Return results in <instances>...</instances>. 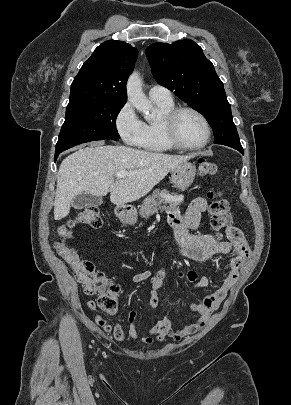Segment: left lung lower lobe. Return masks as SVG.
Here are the masks:
<instances>
[{"label": "left lung lower lobe", "mask_w": 291, "mask_h": 405, "mask_svg": "<svg viewBox=\"0 0 291 405\" xmlns=\"http://www.w3.org/2000/svg\"><path fill=\"white\" fill-rule=\"evenodd\" d=\"M234 149H236V150L240 151L242 154H244L242 146L241 147H235Z\"/></svg>", "instance_id": "1"}]
</instances>
